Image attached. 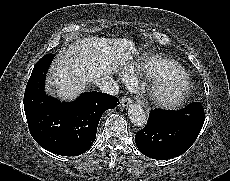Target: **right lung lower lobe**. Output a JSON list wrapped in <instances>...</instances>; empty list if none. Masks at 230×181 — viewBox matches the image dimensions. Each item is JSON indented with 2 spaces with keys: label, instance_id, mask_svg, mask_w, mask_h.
<instances>
[{
  "label": "right lung lower lobe",
  "instance_id": "obj_1",
  "mask_svg": "<svg viewBox=\"0 0 230 181\" xmlns=\"http://www.w3.org/2000/svg\"><path fill=\"white\" fill-rule=\"evenodd\" d=\"M53 57L54 54L42 57L27 83L24 110L28 127L44 149L62 156H77L92 146L102 114L119 105V100L96 91L83 93L72 103L47 96L44 81Z\"/></svg>",
  "mask_w": 230,
  "mask_h": 181
}]
</instances>
